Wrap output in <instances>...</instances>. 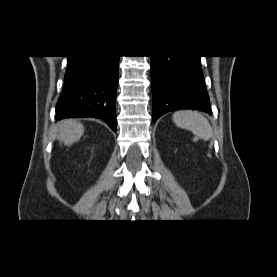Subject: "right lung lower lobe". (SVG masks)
I'll return each mask as SVG.
<instances>
[{
	"instance_id": "obj_1",
	"label": "right lung lower lobe",
	"mask_w": 277,
	"mask_h": 277,
	"mask_svg": "<svg viewBox=\"0 0 277 277\" xmlns=\"http://www.w3.org/2000/svg\"><path fill=\"white\" fill-rule=\"evenodd\" d=\"M119 56H68L56 118L94 117L116 130Z\"/></svg>"
}]
</instances>
